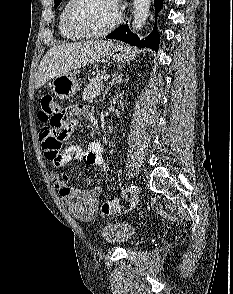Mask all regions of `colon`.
<instances>
[{
    "label": "colon",
    "mask_w": 233,
    "mask_h": 294,
    "mask_svg": "<svg viewBox=\"0 0 233 294\" xmlns=\"http://www.w3.org/2000/svg\"><path fill=\"white\" fill-rule=\"evenodd\" d=\"M61 107L57 100L52 95H44L41 98V109L39 111V119L42 122H47L49 120V117H56V115H52V110H61ZM51 136V134H50ZM119 210V203L117 199L112 198L107 200L103 205L101 206L99 210V214L101 216H106L112 213H115Z\"/></svg>",
    "instance_id": "5ec220e1"
}]
</instances>
